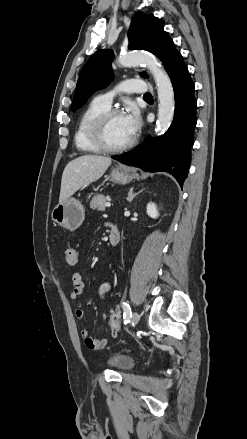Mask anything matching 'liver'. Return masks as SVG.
Returning a JSON list of instances; mask_svg holds the SVG:
<instances>
[{"mask_svg": "<svg viewBox=\"0 0 247 439\" xmlns=\"http://www.w3.org/2000/svg\"><path fill=\"white\" fill-rule=\"evenodd\" d=\"M111 163V158L99 155H84L70 161L62 174L59 203L70 198L81 187L97 181Z\"/></svg>", "mask_w": 247, "mask_h": 439, "instance_id": "6515ba94", "label": "liver"}]
</instances>
